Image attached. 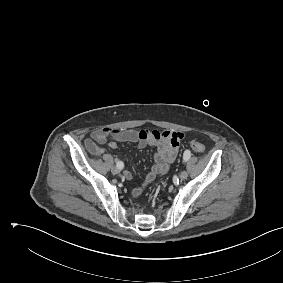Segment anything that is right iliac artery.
<instances>
[{
  "instance_id": "right-iliac-artery-1",
  "label": "right iliac artery",
  "mask_w": 283,
  "mask_h": 283,
  "mask_svg": "<svg viewBox=\"0 0 283 283\" xmlns=\"http://www.w3.org/2000/svg\"><path fill=\"white\" fill-rule=\"evenodd\" d=\"M116 166H117L119 169H123L124 164H123L122 161H118V162L116 163Z\"/></svg>"
}]
</instances>
